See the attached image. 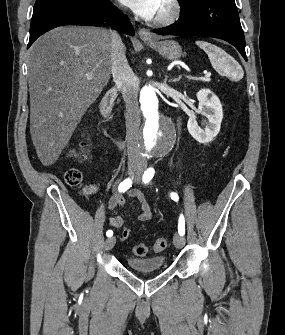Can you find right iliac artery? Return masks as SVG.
<instances>
[{"instance_id":"right-iliac-artery-1","label":"right iliac artery","mask_w":285,"mask_h":335,"mask_svg":"<svg viewBox=\"0 0 285 335\" xmlns=\"http://www.w3.org/2000/svg\"><path fill=\"white\" fill-rule=\"evenodd\" d=\"M132 186V180L130 178L125 179L123 182L119 184L118 191L119 192H125ZM106 235L108 237H111L113 235L112 230H108L106 232Z\"/></svg>"}]
</instances>
